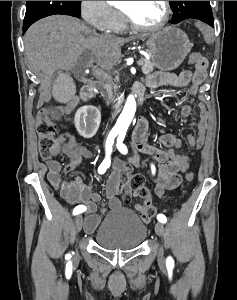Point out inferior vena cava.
<instances>
[{"label":"inferior vena cava","instance_id":"1","mask_svg":"<svg viewBox=\"0 0 237 300\" xmlns=\"http://www.w3.org/2000/svg\"><path fill=\"white\" fill-rule=\"evenodd\" d=\"M101 37H112V35H101Z\"/></svg>","mask_w":237,"mask_h":300}]
</instances>
